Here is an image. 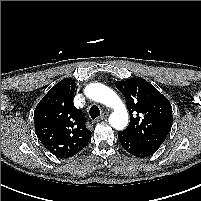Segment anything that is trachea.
<instances>
[{
    "label": "trachea",
    "instance_id": "3493384b",
    "mask_svg": "<svg viewBox=\"0 0 201 201\" xmlns=\"http://www.w3.org/2000/svg\"><path fill=\"white\" fill-rule=\"evenodd\" d=\"M89 114H90L92 119L99 117L101 114L99 107L96 105L91 106V108L89 110Z\"/></svg>",
    "mask_w": 201,
    "mask_h": 201
}]
</instances>
